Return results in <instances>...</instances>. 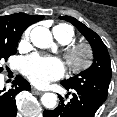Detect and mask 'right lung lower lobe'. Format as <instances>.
<instances>
[{
	"instance_id": "1",
	"label": "right lung lower lobe",
	"mask_w": 117,
	"mask_h": 117,
	"mask_svg": "<svg viewBox=\"0 0 117 117\" xmlns=\"http://www.w3.org/2000/svg\"><path fill=\"white\" fill-rule=\"evenodd\" d=\"M30 90V84L21 76L13 81L11 89L0 90V117H15L17 114L15 96L23 91Z\"/></svg>"
}]
</instances>
